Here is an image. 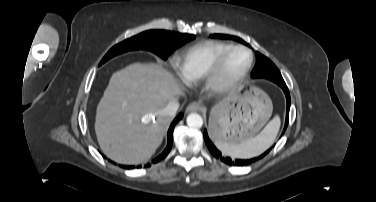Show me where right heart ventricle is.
I'll return each mask as SVG.
<instances>
[{
  "label": "right heart ventricle",
  "mask_w": 376,
  "mask_h": 202,
  "mask_svg": "<svg viewBox=\"0 0 376 202\" xmlns=\"http://www.w3.org/2000/svg\"><path fill=\"white\" fill-rule=\"evenodd\" d=\"M232 44L208 40L197 43L183 51L177 60V69L187 84L204 79L219 56Z\"/></svg>",
  "instance_id": "obj_1"
}]
</instances>
